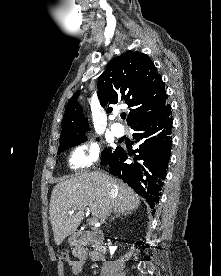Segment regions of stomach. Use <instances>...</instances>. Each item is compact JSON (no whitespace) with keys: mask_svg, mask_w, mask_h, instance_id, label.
Returning a JSON list of instances; mask_svg holds the SVG:
<instances>
[{"mask_svg":"<svg viewBox=\"0 0 221 276\" xmlns=\"http://www.w3.org/2000/svg\"><path fill=\"white\" fill-rule=\"evenodd\" d=\"M68 242L71 244V245H76L78 243V238L76 235H71L68 239Z\"/></svg>","mask_w":221,"mask_h":276,"instance_id":"obj_1","label":"stomach"}]
</instances>
